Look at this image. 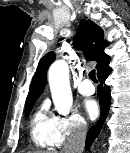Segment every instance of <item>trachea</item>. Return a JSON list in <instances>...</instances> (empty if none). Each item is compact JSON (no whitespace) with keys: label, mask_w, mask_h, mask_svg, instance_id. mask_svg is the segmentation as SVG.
Instances as JSON below:
<instances>
[{"label":"trachea","mask_w":130,"mask_h":153,"mask_svg":"<svg viewBox=\"0 0 130 153\" xmlns=\"http://www.w3.org/2000/svg\"><path fill=\"white\" fill-rule=\"evenodd\" d=\"M89 78H90L94 83H98V80L96 79L95 70L90 71V73H89Z\"/></svg>","instance_id":"1"}]
</instances>
